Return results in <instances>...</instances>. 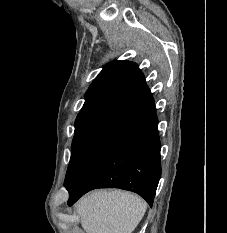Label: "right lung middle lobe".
Instances as JSON below:
<instances>
[{
  "mask_svg": "<svg viewBox=\"0 0 227 233\" xmlns=\"http://www.w3.org/2000/svg\"><path fill=\"white\" fill-rule=\"evenodd\" d=\"M116 137L118 135L101 132L75 133L64 183L68 190L75 186L92 162Z\"/></svg>",
  "mask_w": 227,
  "mask_h": 233,
  "instance_id": "1",
  "label": "right lung middle lobe"
}]
</instances>
